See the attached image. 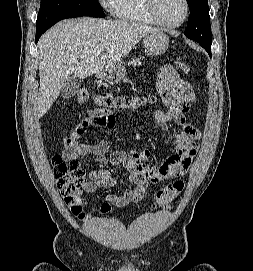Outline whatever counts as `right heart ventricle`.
<instances>
[{
  "label": "right heart ventricle",
  "instance_id": "e07e8e85",
  "mask_svg": "<svg viewBox=\"0 0 253 271\" xmlns=\"http://www.w3.org/2000/svg\"><path fill=\"white\" fill-rule=\"evenodd\" d=\"M113 12L124 21L146 25L158 24L149 13L146 0H117Z\"/></svg>",
  "mask_w": 253,
  "mask_h": 271
}]
</instances>
